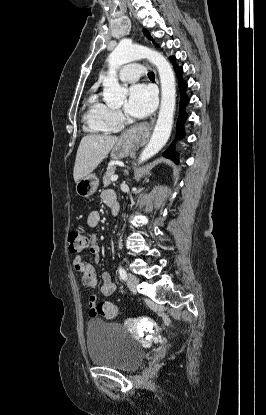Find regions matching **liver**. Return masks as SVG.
I'll return each instance as SVG.
<instances>
[{
	"label": "liver",
	"instance_id": "obj_1",
	"mask_svg": "<svg viewBox=\"0 0 266 415\" xmlns=\"http://www.w3.org/2000/svg\"><path fill=\"white\" fill-rule=\"evenodd\" d=\"M118 137L111 135L90 134L84 136L79 144L73 170L74 181L77 183L89 175L108 155Z\"/></svg>",
	"mask_w": 266,
	"mask_h": 415
}]
</instances>
